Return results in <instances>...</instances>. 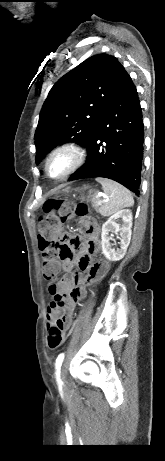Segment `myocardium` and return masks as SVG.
Masks as SVG:
<instances>
[{
    "label": "myocardium",
    "mask_w": 165,
    "mask_h": 461,
    "mask_svg": "<svg viewBox=\"0 0 165 461\" xmlns=\"http://www.w3.org/2000/svg\"><path fill=\"white\" fill-rule=\"evenodd\" d=\"M65 157L67 160L64 170L52 176L49 171L50 163L58 158ZM86 152L84 148L75 142H64L53 147L44 160V172L47 178L54 182L65 180L76 172L85 162Z\"/></svg>",
    "instance_id": "obj_1"
}]
</instances>
